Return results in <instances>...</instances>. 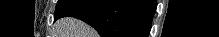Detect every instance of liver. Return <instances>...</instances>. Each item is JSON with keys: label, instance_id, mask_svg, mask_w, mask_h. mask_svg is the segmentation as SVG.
<instances>
[{"label": "liver", "instance_id": "obj_1", "mask_svg": "<svg viewBox=\"0 0 219 37\" xmlns=\"http://www.w3.org/2000/svg\"><path fill=\"white\" fill-rule=\"evenodd\" d=\"M57 37H96V32L86 23L72 18L65 17L58 20L55 24Z\"/></svg>", "mask_w": 219, "mask_h": 37}]
</instances>
